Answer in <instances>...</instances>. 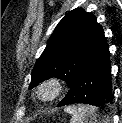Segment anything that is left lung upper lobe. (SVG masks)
<instances>
[{
  "label": "left lung upper lobe",
  "mask_w": 122,
  "mask_h": 123,
  "mask_svg": "<svg viewBox=\"0 0 122 123\" xmlns=\"http://www.w3.org/2000/svg\"><path fill=\"white\" fill-rule=\"evenodd\" d=\"M107 43L92 13L82 8L69 11L58 23L32 71L30 89L51 77L70 87L84 65Z\"/></svg>",
  "instance_id": "1"
}]
</instances>
